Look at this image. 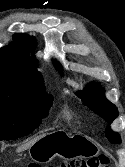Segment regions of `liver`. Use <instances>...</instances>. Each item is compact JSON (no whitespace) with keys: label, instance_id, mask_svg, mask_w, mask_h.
Listing matches in <instances>:
<instances>
[{"label":"liver","instance_id":"6515ba94","mask_svg":"<svg viewBox=\"0 0 125 167\" xmlns=\"http://www.w3.org/2000/svg\"><path fill=\"white\" fill-rule=\"evenodd\" d=\"M43 136L45 135H40L32 140H30L29 142L23 144L22 146H20L18 149H17V152H20V151H23V150H26V149H29L35 142H37L39 139H41Z\"/></svg>","mask_w":125,"mask_h":167}]
</instances>
